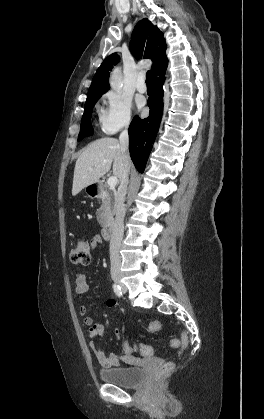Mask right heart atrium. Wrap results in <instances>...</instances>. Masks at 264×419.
<instances>
[{
	"label": "right heart atrium",
	"mask_w": 264,
	"mask_h": 419,
	"mask_svg": "<svg viewBox=\"0 0 264 419\" xmlns=\"http://www.w3.org/2000/svg\"><path fill=\"white\" fill-rule=\"evenodd\" d=\"M105 99L107 106L100 114V127L105 134L111 135L130 125L132 103L128 97L117 92L107 93Z\"/></svg>",
	"instance_id": "right-heart-atrium-1"
}]
</instances>
